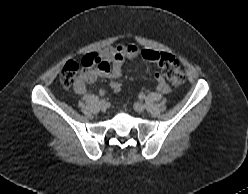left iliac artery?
<instances>
[{
	"label": "left iliac artery",
	"mask_w": 248,
	"mask_h": 194,
	"mask_svg": "<svg viewBox=\"0 0 248 194\" xmlns=\"http://www.w3.org/2000/svg\"><path fill=\"white\" fill-rule=\"evenodd\" d=\"M138 97H139V99H141V100H143V99H145V94L144 93H140L139 95H138Z\"/></svg>",
	"instance_id": "44dca946"
}]
</instances>
